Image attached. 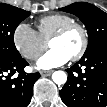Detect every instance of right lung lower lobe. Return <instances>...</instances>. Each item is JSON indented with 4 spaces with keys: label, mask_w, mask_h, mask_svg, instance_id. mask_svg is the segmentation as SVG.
Returning a JSON list of instances; mask_svg holds the SVG:
<instances>
[{
    "label": "right lung lower lobe",
    "mask_w": 107,
    "mask_h": 107,
    "mask_svg": "<svg viewBox=\"0 0 107 107\" xmlns=\"http://www.w3.org/2000/svg\"><path fill=\"white\" fill-rule=\"evenodd\" d=\"M28 63L21 56L15 59L0 57V107H27L31 101L33 84L40 77L26 74ZM19 73L17 78L13 74Z\"/></svg>",
    "instance_id": "98d812e1"
}]
</instances>
